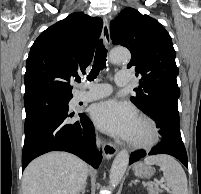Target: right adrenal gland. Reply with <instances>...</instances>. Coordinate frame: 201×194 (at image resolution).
I'll list each match as a JSON object with an SVG mask.
<instances>
[{
	"instance_id": "2a0ac1e0",
	"label": "right adrenal gland",
	"mask_w": 201,
	"mask_h": 194,
	"mask_svg": "<svg viewBox=\"0 0 201 194\" xmlns=\"http://www.w3.org/2000/svg\"><path fill=\"white\" fill-rule=\"evenodd\" d=\"M86 184L83 186V188L81 189V194H85V189H86Z\"/></svg>"
}]
</instances>
